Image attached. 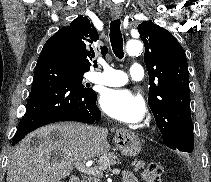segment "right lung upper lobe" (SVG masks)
Returning a JSON list of instances; mask_svg holds the SVG:
<instances>
[{
	"mask_svg": "<svg viewBox=\"0 0 211 182\" xmlns=\"http://www.w3.org/2000/svg\"><path fill=\"white\" fill-rule=\"evenodd\" d=\"M55 36H60L61 39L68 42L73 60L78 68L89 71L92 64L97 67V61L94 60L93 44L99 36L93 23L87 17L76 18L69 26L62 27Z\"/></svg>",
	"mask_w": 211,
	"mask_h": 182,
	"instance_id": "cb5924a9",
	"label": "right lung upper lobe"
}]
</instances>
